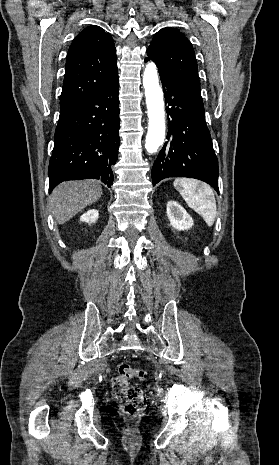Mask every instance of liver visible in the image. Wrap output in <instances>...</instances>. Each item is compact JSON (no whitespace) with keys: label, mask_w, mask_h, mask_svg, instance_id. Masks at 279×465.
<instances>
[{"label":"liver","mask_w":279,"mask_h":465,"mask_svg":"<svg viewBox=\"0 0 279 465\" xmlns=\"http://www.w3.org/2000/svg\"><path fill=\"white\" fill-rule=\"evenodd\" d=\"M102 195L99 181H67L59 184L51 193L50 207L58 224L69 221L85 207L96 202Z\"/></svg>","instance_id":"liver-1"}]
</instances>
